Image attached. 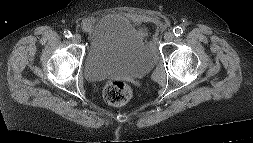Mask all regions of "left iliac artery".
Listing matches in <instances>:
<instances>
[{
  "label": "left iliac artery",
  "mask_w": 253,
  "mask_h": 143,
  "mask_svg": "<svg viewBox=\"0 0 253 143\" xmlns=\"http://www.w3.org/2000/svg\"><path fill=\"white\" fill-rule=\"evenodd\" d=\"M184 27H182V26H177V27H175L174 29H173V33H174V35L176 36V37H178V36H181L182 34H183V32H184Z\"/></svg>",
  "instance_id": "44dca946"
}]
</instances>
